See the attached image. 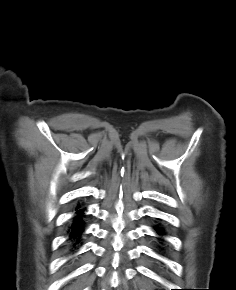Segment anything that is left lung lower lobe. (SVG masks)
Wrapping results in <instances>:
<instances>
[{
  "label": "left lung lower lobe",
  "mask_w": 236,
  "mask_h": 290,
  "mask_svg": "<svg viewBox=\"0 0 236 290\" xmlns=\"http://www.w3.org/2000/svg\"><path fill=\"white\" fill-rule=\"evenodd\" d=\"M154 229L156 230L158 235H163L164 234V229L163 228H160L159 226H156Z\"/></svg>",
  "instance_id": "obj_1"
}]
</instances>
